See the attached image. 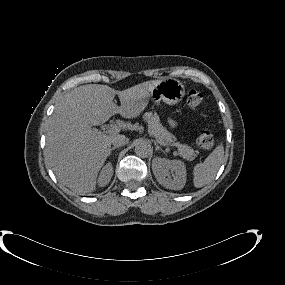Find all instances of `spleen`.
<instances>
[{"instance_id": "1", "label": "spleen", "mask_w": 285, "mask_h": 285, "mask_svg": "<svg viewBox=\"0 0 285 285\" xmlns=\"http://www.w3.org/2000/svg\"><path fill=\"white\" fill-rule=\"evenodd\" d=\"M224 160V147L218 145L203 163L196 164L193 170V183L196 188H201L215 178Z\"/></svg>"}]
</instances>
